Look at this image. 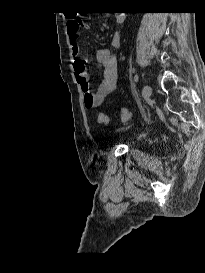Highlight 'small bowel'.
<instances>
[{"mask_svg": "<svg viewBox=\"0 0 205 273\" xmlns=\"http://www.w3.org/2000/svg\"><path fill=\"white\" fill-rule=\"evenodd\" d=\"M80 22L77 18H70L67 23L69 41L72 48V54L75 58L73 64L75 77L80 84L84 94V105L88 109L99 107L103 101L116 91L118 87V64L115 56L109 48H99L95 51V58L102 70V79L96 91H91L88 84V75L85 71L83 62L84 54L78 44V35L81 28L76 25ZM83 29L88 28V24L83 22ZM121 43V37L115 35L111 41L112 47H117Z\"/></svg>", "mask_w": 205, "mask_h": 273, "instance_id": "small-bowel-1", "label": "small bowel"}]
</instances>
